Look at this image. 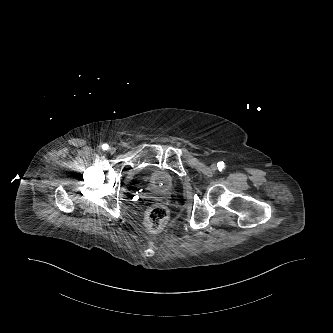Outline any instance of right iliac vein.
Masks as SVG:
<instances>
[{"instance_id": "right-iliac-vein-1", "label": "right iliac vein", "mask_w": 333, "mask_h": 333, "mask_svg": "<svg viewBox=\"0 0 333 333\" xmlns=\"http://www.w3.org/2000/svg\"><path fill=\"white\" fill-rule=\"evenodd\" d=\"M109 153H110V154H115V153H116V148H114V147H110V148H109Z\"/></svg>"}]
</instances>
